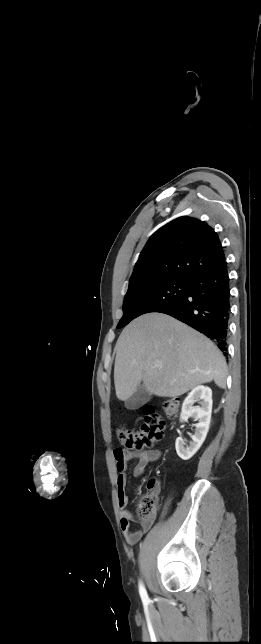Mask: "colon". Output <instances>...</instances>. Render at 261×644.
I'll use <instances>...</instances> for the list:
<instances>
[{
    "instance_id": "5ec220e1",
    "label": "colon",
    "mask_w": 261,
    "mask_h": 644,
    "mask_svg": "<svg viewBox=\"0 0 261 644\" xmlns=\"http://www.w3.org/2000/svg\"><path fill=\"white\" fill-rule=\"evenodd\" d=\"M165 415L174 419L179 410V400L168 398L162 404ZM165 421L159 411L153 405H146L143 408V423L141 429L133 432L127 428L117 430V438L125 448L133 450H145L153 447L163 437ZM159 505L157 494V482L151 479L146 492L140 497L138 503V514L142 522L153 519Z\"/></svg>"
}]
</instances>
